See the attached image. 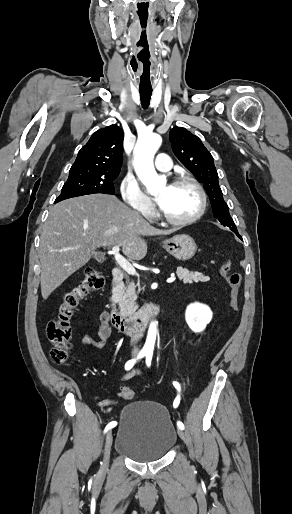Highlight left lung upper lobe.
Returning <instances> with one entry per match:
<instances>
[{
  "label": "left lung upper lobe",
  "mask_w": 292,
  "mask_h": 514,
  "mask_svg": "<svg viewBox=\"0 0 292 514\" xmlns=\"http://www.w3.org/2000/svg\"><path fill=\"white\" fill-rule=\"evenodd\" d=\"M172 150L179 161L203 184L213 208L214 217L224 226L238 233L223 199L218 173L211 153L202 141L187 129L174 127L169 133Z\"/></svg>",
  "instance_id": "5c2ea615"
}]
</instances>
